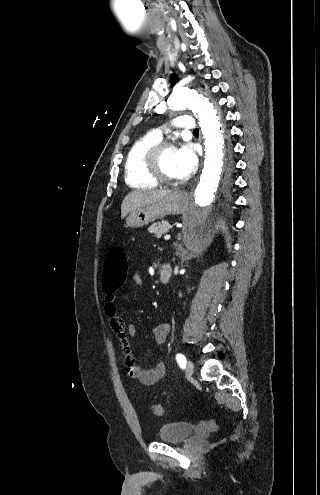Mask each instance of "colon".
Masks as SVG:
<instances>
[{
	"instance_id": "colon-1",
	"label": "colon",
	"mask_w": 320,
	"mask_h": 495,
	"mask_svg": "<svg viewBox=\"0 0 320 495\" xmlns=\"http://www.w3.org/2000/svg\"><path fill=\"white\" fill-rule=\"evenodd\" d=\"M128 270V258L125 251L119 247L111 248L103 264V287L106 291H114L125 281ZM152 412L161 416L164 408L160 403L152 405Z\"/></svg>"
}]
</instances>
